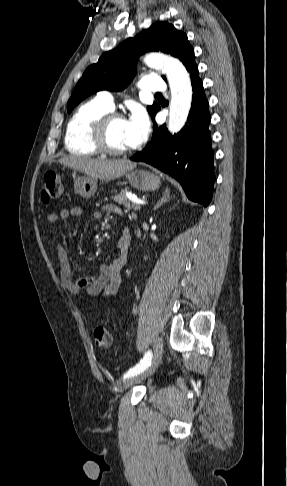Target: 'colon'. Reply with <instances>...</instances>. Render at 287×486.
I'll use <instances>...</instances> for the list:
<instances>
[{"mask_svg": "<svg viewBox=\"0 0 287 486\" xmlns=\"http://www.w3.org/2000/svg\"><path fill=\"white\" fill-rule=\"evenodd\" d=\"M62 185L59 174L55 171H48L43 177L41 189V201L48 203L61 195ZM94 342L96 347L101 349L109 348L112 343V335L106 325H98L94 329Z\"/></svg>", "mask_w": 287, "mask_h": 486, "instance_id": "5ec220e1", "label": "colon"}]
</instances>
